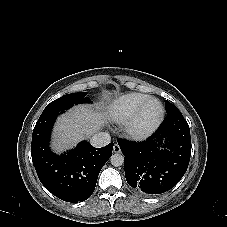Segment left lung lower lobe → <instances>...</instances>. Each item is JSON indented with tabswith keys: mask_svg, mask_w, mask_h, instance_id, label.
Listing matches in <instances>:
<instances>
[{
	"mask_svg": "<svg viewBox=\"0 0 227 227\" xmlns=\"http://www.w3.org/2000/svg\"><path fill=\"white\" fill-rule=\"evenodd\" d=\"M118 144L124 154L127 183L144 196L167 192L181 180L192 147L189 125L177 107L147 140L120 139Z\"/></svg>",
	"mask_w": 227,
	"mask_h": 227,
	"instance_id": "0a47b994",
	"label": "left lung lower lobe"
}]
</instances>
